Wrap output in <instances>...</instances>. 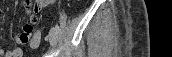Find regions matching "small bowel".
I'll use <instances>...</instances> for the list:
<instances>
[{
  "mask_svg": "<svg viewBox=\"0 0 172 57\" xmlns=\"http://www.w3.org/2000/svg\"><path fill=\"white\" fill-rule=\"evenodd\" d=\"M54 1L50 0H37V1H25L24 4L26 7H31V12L28 16V22L23 25L22 32L20 34H14L12 36L14 42L18 47L9 50L0 47V56L3 57H21L22 48L21 46L29 44L31 48H37L41 43V33L39 31L34 32V25L37 23L38 18L35 15L38 11L45 8L49 4H52Z\"/></svg>",
  "mask_w": 172,
  "mask_h": 57,
  "instance_id": "1",
  "label": "small bowel"
}]
</instances>
